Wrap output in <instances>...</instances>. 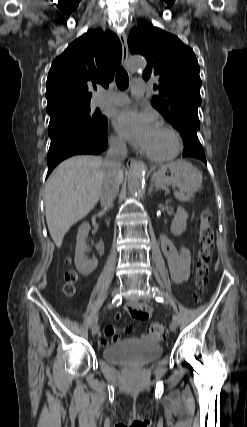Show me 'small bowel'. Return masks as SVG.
Listing matches in <instances>:
<instances>
[{"instance_id": "small-bowel-1", "label": "small bowel", "mask_w": 247, "mask_h": 427, "mask_svg": "<svg viewBox=\"0 0 247 427\" xmlns=\"http://www.w3.org/2000/svg\"><path fill=\"white\" fill-rule=\"evenodd\" d=\"M160 245L164 256L168 261L169 271L172 279L176 283H182L188 279L191 265L190 250L186 246H176L166 235L160 236ZM125 310L135 319L145 321L148 320L152 315V308L144 303L129 302L125 305ZM122 315L120 312L115 314V319L120 320ZM125 333L129 334L132 332L131 327L124 329ZM112 342L117 343L121 340L120 334L116 328L112 325H107L104 329V338L101 339V345H106L108 339ZM143 339L151 338L149 335H144ZM153 339V338H151Z\"/></svg>"}]
</instances>
